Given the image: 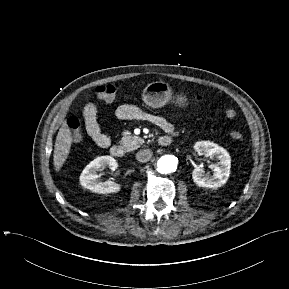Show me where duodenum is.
Here are the masks:
<instances>
[{
	"mask_svg": "<svg viewBox=\"0 0 289 289\" xmlns=\"http://www.w3.org/2000/svg\"><path fill=\"white\" fill-rule=\"evenodd\" d=\"M170 141H171V138H168L166 136H163L159 139V143L161 145H168ZM110 153L114 157L121 158L125 155V150L121 145H113L110 148Z\"/></svg>",
	"mask_w": 289,
	"mask_h": 289,
	"instance_id": "1",
	"label": "duodenum"
}]
</instances>
